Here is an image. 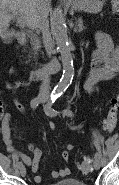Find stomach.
<instances>
[{"label": "stomach", "mask_w": 119, "mask_h": 185, "mask_svg": "<svg viewBox=\"0 0 119 185\" xmlns=\"http://www.w3.org/2000/svg\"><path fill=\"white\" fill-rule=\"evenodd\" d=\"M106 0H73L71 8L75 11L98 13L102 10Z\"/></svg>", "instance_id": "0dacf381"}]
</instances>
